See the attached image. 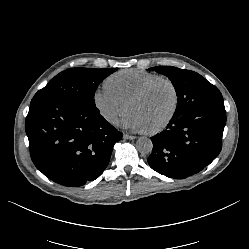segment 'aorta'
I'll use <instances>...</instances> for the list:
<instances>
[{"instance_id":"aorta-1","label":"aorta","mask_w":249,"mask_h":249,"mask_svg":"<svg viewBox=\"0 0 249 249\" xmlns=\"http://www.w3.org/2000/svg\"><path fill=\"white\" fill-rule=\"evenodd\" d=\"M136 148L141 154H150L153 149V143L148 137H139L136 141Z\"/></svg>"}]
</instances>
